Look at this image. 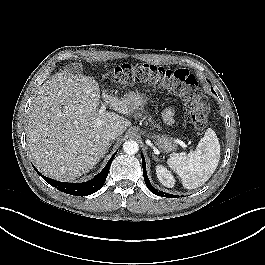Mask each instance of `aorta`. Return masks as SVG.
Here are the masks:
<instances>
[{"mask_svg":"<svg viewBox=\"0 0 265 265\" xmlns=\"http://www.w3.org/2000/svg\"><path fill=\"white\" fill-rule=\"evenodd\" d=\"M139 150V145L136 141L128 140L123 144V151L129 155L137 153Z\"/></svg>","mask_w":265,"mask_h":265,"instance_id":"aorta-1","label":"aorta"}]
</instances>
